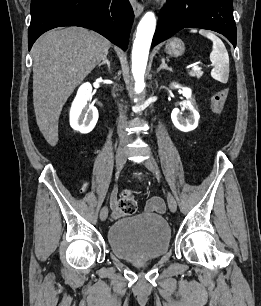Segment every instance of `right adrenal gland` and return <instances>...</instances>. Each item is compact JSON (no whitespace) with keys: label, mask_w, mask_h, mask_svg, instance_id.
<instances>
[{"label":"right adrenal gland","mask_w":261,"mask_h":306,"mask_svg":"<svg viewBox=\"0 0 261 306\" xmlns=\"http://www.w3.org/2000/svg\"><path fill=\"white\" fill-rule=\"evenodd\" d=\"M107 65V67L110 69V62L107 59V57H105V59L102 61V63L98 64V67L102 66V65Z\"/></svg>","instance_id":"right-adrenal-gland-1"}]
</instances>
